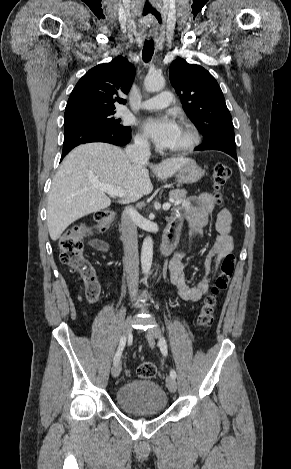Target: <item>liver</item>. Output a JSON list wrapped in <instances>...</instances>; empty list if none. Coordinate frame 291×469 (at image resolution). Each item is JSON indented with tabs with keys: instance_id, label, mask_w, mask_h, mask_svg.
Masks as SVG:
<instances>
[{
	"instance_id": "6515ba94",
	"label": "liver",
	"mask_w": 291,
	"mask_h": 469,
	"mask_svg": "<svg viewBox=\"0 0 291 469\" xmlns=\"http://www.w3.org/2000/svg\"><path fill=\"white\" fill-rule=\"evenodd\" d=\"M191 161L170 158L149 168L164 180ZM95 183L122 188L119 203L136 201L153 190L147 163L132 162L124 150L106 143L78 146L63 160L49 192L47 225L53 241L76 220L111 205L106 192L96 189Z\"/></svg>"
}]
</instances>
